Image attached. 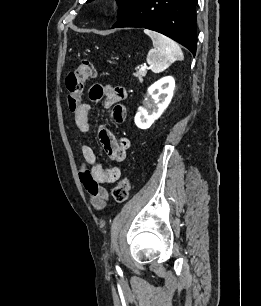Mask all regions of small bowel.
<instances>
[{
    "label": "small bowel",
    "mask_w": 261,
    "mask_h": 306,
    "mask_svg": "<svg viewBox=\"0 0 261 306\" xmlns=\"http://www.w3.org/2000/svg\"><path fill=\"white\" fill-rule=\"evenodd\" d=\"M127 96V91L121 86L95 84L89 90L90 102L80 103L74 110V122L77 130L84 136L90 132L89 114L91 103L104 98L105 109L112 108V120L116 124L124 122L126 109L121 104ZM98 138L109 157L115 162L125 160L131 142L126 136L116 138L109 130L100 127ZM79 147L82 153V163L79 171L80 181L90 196L94 208H104L109 198V193L103 187L104 184L114 183L121 175V168L117 165L104 168L98 161L93 148L80 140Z\"/></svg>",
    "instance_id": "obj_1"
}]
</instances>
